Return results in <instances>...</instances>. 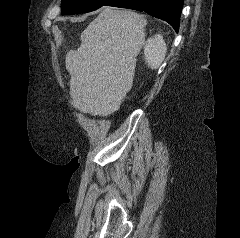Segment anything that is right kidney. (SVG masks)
<instances>
[{
    "mask_svg": "<svg viewBox=\"0 0 240 238\" xmlns=\"http://www.w3.org/2000/svg\"><path fill=\"white\" fill-rule=\"evenodd\" d=\"M167 52L165 41L160 34H156L146 41L144 55L147 65L157 69L164 61Z\"/></svg>",
    "mask_w": 240,
    "mask_h": 238,
    "instance_id": "obj_1",
    "label": "right kidney"
}]
</instances>
